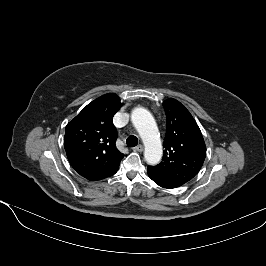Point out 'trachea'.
Masks as SVG:
<instances>
[{"label":"trachea","instance_id":"1","mask_svg":"<svg viewBox=\"0 0 266 266\" xmlns=\"http://www.w3.org/2000/svg\"><path fill=\"white\" fill-rule=\"evenodd\" d=\"M126 144L129 147H135L138 144V138L134 135H131L127 138Z\"/></svg>","mask_w":266,"mask_h":266}]
</instances>
